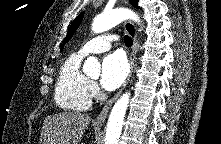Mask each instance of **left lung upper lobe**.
Wrapping results in <instances>:
<instances>
[{
	"mask_svg": "<svg viewBox=\"0 0 221 144\" xmlns=\"http://www.w3.org/2000/svg\"><path fill=\"white\" fill-rule=\"evenodd\" d=\"M130 3H131L134 7L139 8V7L137 6L138 0H130ZM83 16H84V13L79 14V15L75 18V20L72 22V24H71V26H70V28H69V31H68V33H67V36H66V38H65L64 41H63V46H64V44L74 35V33H75V31L77 30V28H78V26H79V24H80V22H81ZM63 46L61 47V49H63Z\"/></svg>",
	"mask_w": 221,
	"mask_h": 144,
	"instance_id": "1",
	"label": "left lung upper lobe"
}]
</instances>
